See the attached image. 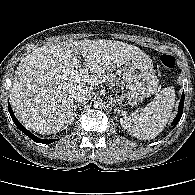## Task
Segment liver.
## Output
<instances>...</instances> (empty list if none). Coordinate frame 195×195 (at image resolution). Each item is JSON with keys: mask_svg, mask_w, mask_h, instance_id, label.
Instances as JSON below:
<instances>
[{"mask_svg": "<svg viewBox=\"0 0 195 195\" xmlns=\"http://www.w3.org/2000/svg\"><path fill=\"white\" fill-rule=\"evenodd\" d=\"M76 55L84 57V66L99 77L145 53L134 45L106 39L67 40L35 49L19 63L10 90L15 115L26 128L55 134L71 124L72 92L89 85L64 75V70L81 66Z\"/></svg>", "mask_w": 195, "mask_h": 195, "instance_id": "obj_1", "label": "liver"}]
</instances>
